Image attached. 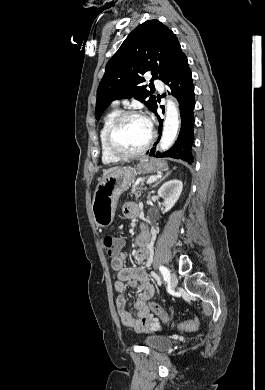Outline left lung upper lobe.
<instances>
[{
    "label": "left lung upper lobe",
    "instance_id": "obj_1",
    "mask_svg": "<svg viewBox=\"0 0 265 390\" xmlns=\"http://www.w3.org/2000/svg\"><path fill=\"white\" fill-rule=\"evenodd\" d=\"M182 53L176 35L162 22L149 20L135 28L108 61L97 89L95 116L99 119L115 99L132 98L144 103L152 112L157 103L142 75L151 71L164 81Z\"/></svg>",
    "mask_w": 265,
    "mask_h": 390
}]
</instances>
